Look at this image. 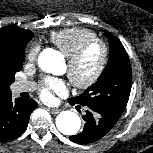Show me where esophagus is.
<instances>
[{
	"instance_id": "1",
	"label": "esophagus",
	"mask_w": 153,
	"mask_h": 153,
	"mask_svg": "<svg viewBox=\"0 0 153 153\" xmlns=\"http://www.w3.org/2000/svg\"><path fill=\"white\" fill-rule=\"evenodd\" d=\"M52 114H58L59 112H60V109H58V108H49L48 109Z\"/></svg>"
}]
</instances>
